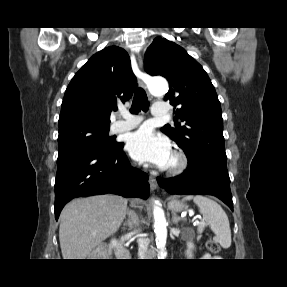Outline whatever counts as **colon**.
<instances>
[{"mask_svg":"<svg viewBox=\"0 0 287 287\" xmlns=\"http://www.w3.org/2000/svg\"><path fill=\"white\" fill-rule=\"evenodd\" d=\"M206 247L211 253L214 254H217L220 251V246L213 240H207Z\"/></svg>","mask_w":287,"mask_h":287,"instance_id":"colon-1","label":"colon"}]
</instances>
